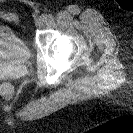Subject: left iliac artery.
I'll return each mask as SVG.
<instances>
[{
  "label": "left iliac artery",
  "mask_w": 133,
  "mask_h": 133,
  "mask_svg": "<svg viewBox=\"0 0 133 133\" xmlns=\"http://www.w3.org/2000/svg\"><path fill=\"white\" fill-rule=\"evenodd\" d=\"M42 17H43L44 21H47L51 17V15L50 14H43Z\"/></svg>",
  "instance_id": "left-iliac-artery-1"
}]
</instances>
